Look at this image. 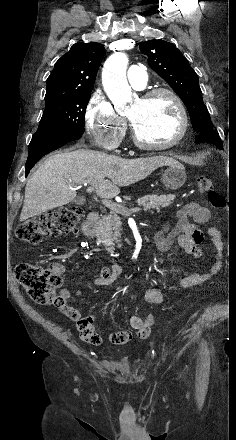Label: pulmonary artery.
Returning <instances> with one entry per match:
<instances>
[{
  "instance_id": "1",
  "label": "pulmonary artery",
  "mask_w": 236,
  "mask_h": 440,
  "mask_svg": "<svg viewBox=\"0 0 236 440\" xmlns=\"http://www.w3.org/2000/svg\"><path fill=\"white\" fill-rule=\"evenodd\" d=\"M148 74L144 67L132 65L128 70V81L136 89H142L146 86Z\"/></svg>"
}]
</instances>
